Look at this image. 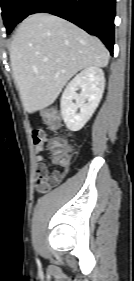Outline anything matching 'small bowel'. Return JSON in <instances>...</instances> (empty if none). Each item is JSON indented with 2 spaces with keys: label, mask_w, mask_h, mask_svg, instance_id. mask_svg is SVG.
I'll use <instances>...</instances> for the list:
<instances>
[{
  "label": "small bowel",
  "mask_w": 134,
  "mask_h": 281,
  "mask_svg": "<svg viewBox=\"0 0 134 281\" xmlns=\"http://www.w3.org/2000/svg\"><path fill=\"white\" fill-rule=\"evenodd\" d=\"M48 141V135L43 128L33 130V143L35 147L36 167V187L39 193H46L56 187L65 177V172L58 170L49 171L50 165L45 162L43 156L40 155L44 144ZM57 164L54 158L51 159V165Z\"/></svg>",
  "instance_id": "small-bowel-1"
}]
</instances>
